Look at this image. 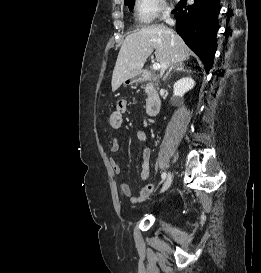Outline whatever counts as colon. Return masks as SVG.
I'll list each match as a JSON object with an SVG mask.
<instances>
[{
    "label": "colon",
    "mask_w": 261,
    "mask_h": 273,
    "mask_svg": "<svg viewBox=\"0 0 261 273\" xmlns=\"http://www.w3.org/2000/svg\"><path fill=\"white\" fill-rule=\"evenodd\" d=\"M108 124L111 128L118 129L122 125V116L119 112H113L108 119Z\"/></svg>",
    "instance_id": "obj_1"
}]
</instances>
